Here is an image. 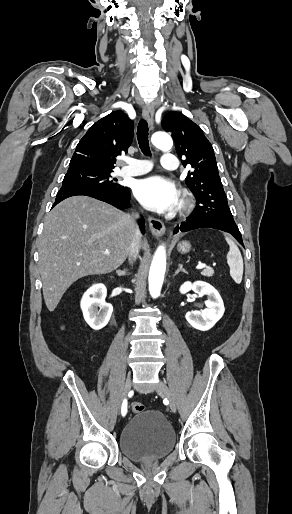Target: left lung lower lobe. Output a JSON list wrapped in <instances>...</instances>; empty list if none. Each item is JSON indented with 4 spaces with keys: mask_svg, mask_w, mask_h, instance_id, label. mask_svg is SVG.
<instances>
[{
    "mask_svg": "<svg viewBox=\"0 0 292 514\" xmlns=\"http://www.w3.org/2000/svg\"><path fill=\"white\" fill-rule=\"evenodd\" d=\"M197 228H214L228 232L233 235L242 246H244L241 233L234 221L213 217L201 218L194 211L187 217L186 221L181 222L180 225L176 226L174 233H178L179 231L185 232Z\"/></svg>",
    "mask_w": 292,
    "mask_h": 514,
    "instance_id": "left-lung-lower-lobe-1",
    "label": "left lung lower lobe"
}]
</instances>
